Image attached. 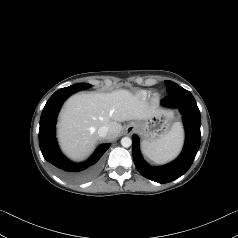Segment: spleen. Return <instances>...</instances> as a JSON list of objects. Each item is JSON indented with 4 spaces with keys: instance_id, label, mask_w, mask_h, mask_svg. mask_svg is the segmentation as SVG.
Wrapping results in <instances>:
<instances>
[{
    "instance_id": "spleen-1",
    "label": "spleen",
    "mask_w": 238,
    "mask_h": 238,
    "mask_svg": "<svg viewBox=\"0 0 238 238\" xmlns=\"http://www.w3.org/2000/svg\"><path fill=\"white\" fill-rule=\"evenodd\" d=\"M184 134L180 123H175L161 139L143 145L145 155L156 163L173 159L181 150Z\"/></svg>"
}]
</instances>
